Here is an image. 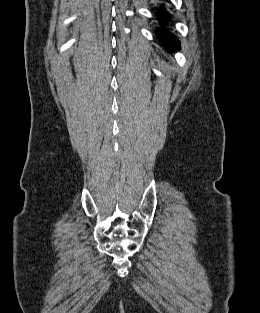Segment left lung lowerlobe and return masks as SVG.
Here are the masks:
<instances>
[{
  "instance_id": "1",
  "label": "left lung lower lobe",
  "mask_w": 260,
  "mask_h": 313,
  "mask_svg": "<svg viewBox=\"0 0 260 313\" xmlns=\"http://www.w3.org/2000/svg\"><path fill=\"white\" fill-rule=\"evenodd\" d=\"M157 15L159 16L160 23H162V24L165 23L166 18L170 17L167 14V12L165 11V9L163 8V5L160 7V9H158ZM156 33L161 38V40H165L166 42H168V45L166 43H165V45H167L169 50H170V47H174V49H175L176 47L180 46V43L176 39V37L173 34L169 33L167 30H158ZM162 44H164V43L162 42Z\"/></svg>"
}]
</instances>
